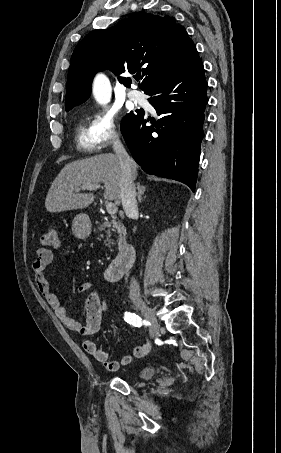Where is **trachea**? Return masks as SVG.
<instances>
[{
  "label": "trachea",
  "instance_id": "1",
  "mask_svg": "<svg viewBox=\"0 0 281 453\" xmlns=\"http://www.w3.org/2000/svg\"><path fill=\"white\" fill-rule=\"evenodd\" d=\"M140 77H137L136 80L138 81Z\"/></svg>",
  "mask_w": 281,
  "mask_h": 453
}]
</instances>
